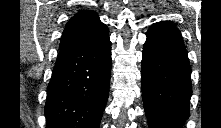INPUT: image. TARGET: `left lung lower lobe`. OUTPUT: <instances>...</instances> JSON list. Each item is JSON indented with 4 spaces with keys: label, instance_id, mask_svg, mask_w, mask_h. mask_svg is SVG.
I'll use <instances>...</instances> for the list:
<instances>
[{
    "label": "left lung lower lobe",
    "instance_id": "left-lung-lower-lobe-1",
    "mask_svg": "<svg viewBox=\"0 0 221 128\" xmlns=\"http://www.w3.org/2000/svg\"><path fill=\"white\" fill-rule=\"evenodd\" d=\"M142 98L150 128H182L189 117L191 67L180 31L163 21L146 33Z\"/></svg>",
    "mask_w": 221,
    "mask_h": 128
}]
</instances>
